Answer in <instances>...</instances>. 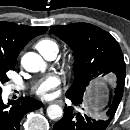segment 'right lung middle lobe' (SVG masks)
I'll return each instance as SVG.
<instances>
[{
	"instance_id": "dd1d6c3e",
	"label": "right lung middle lobe",
	"mask_w": 130,
	"mask_h": 130,
	"mask_svg": "<svg viewBox=\"0 0 130 130\" xmlns=\"http://www.w3.org/2000/svg\"><path fill=\"white\" fill-rule=\"evenodd\" d=\"M15 62H10L4 57H0V92L2 91V86L9 81L7 73L10 70H14Z\"/></svg>"
}]
</instances>
